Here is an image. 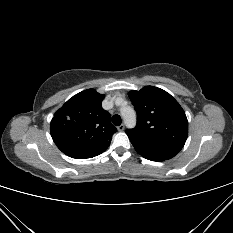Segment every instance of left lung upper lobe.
I'll list each match as a JSON object with an SVG mask.
<instances>
[{
	"label": "left lung upper lobe",
	"mask_w": 233,
	"mask_h": 233,
	"mask_svg": "<svg viewBox=\"0 0 233 233\" xmlns=\"http://www.w3.org/2000/svg\"><path fill=\"white\" fill-rule=\"evenodd\" d=\"M137 112V125L127 129L135 150L142 155L168 160L184 146L188 121L179 103L166 91L146 86L128 93Z\"/></svg>",
	"instance_id": "5c2ea615"
}]
</instances>
